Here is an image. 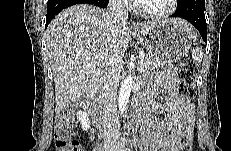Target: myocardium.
Returning <instances> with one entry per match:
<instances>
[{
  "mask_svg": "<svg viewBox=\"0 0 231 151\" xmlns=\"http://www.w3.org/2000/svg\"><path fill=\"white\" fill-rule=\"evenodd\" d=\"M177 2H178L177 0H169L168 6L164 10H161V11L148 10L145 7H143V5L140 3L135 4V9L140 15L146 18L162 19V18H166L170 16L174 12Z\"/></svg>",
  "mask_w": 231,
  "mask_h": 151,
  "instance_id": "obj_1",
  "label": "myocardium"
}]
</instances>
